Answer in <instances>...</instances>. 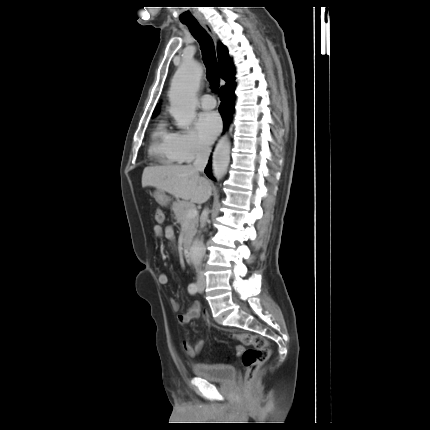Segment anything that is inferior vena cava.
<instances>
[{
  "label": "inferior vena cava",
  "mask_w": 430,
  "mask_h": 430,
  "mask_svg": "<svg viewBox=\"0 0 430 430\" xmlns=\"http://www.w3.org/2000/svg\"><path fill=\"white\" fill-rule=\"evenodd\" d=\"M211 149L209 147H202L199 149L197 155H196V159L193 163V169L196 171H200L203 172L208 159H209V155H210ZM208 218V209H204L201 215V220H200V227L204 228L206 225V221ZM198 279L204 281L205 277H204V272L203 271H199L198 272Z\"/></svg>",
  "instance_id": "1"
}]
</instances>
